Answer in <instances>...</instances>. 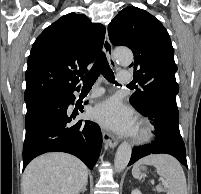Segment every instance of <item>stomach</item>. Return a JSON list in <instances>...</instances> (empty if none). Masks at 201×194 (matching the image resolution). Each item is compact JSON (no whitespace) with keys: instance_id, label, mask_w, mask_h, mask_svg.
Listing matches in <instances>:
<instances>
[{"instance_id":"1","label":"stomach","mask_w":201,"mask_h":194,"mask_svg":"<svg viewBox=\"0 0 201 194\" xmlns=\"http://www.w3.org/2000/svg\"><path fill=\"white\" fill-rule=\"evenodd\" d=\"M139 170H140V171H141V170H144V168H143V167H141Z\"/></svg>"}]
</instances>
